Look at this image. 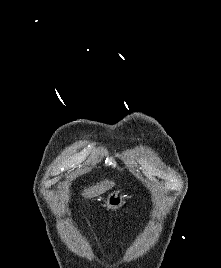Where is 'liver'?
<instances>
[{
    "instance_id": "6515ba94",
    "label": "liver",
    "mask_w": 221,
    "mask_h": 268,
    "mask_svg": "<svg viewBox=\"0 0 221 268\" xmlns=\"http://www.w3.org/2000/svg\"><path fill=\"white\" fill-rule=\"evenodd\" d=\"M114 185H115V183L113 181L104 180V181L98 183L95 186L85 188L84 192L82 193V195L85 198L97 197V196L105 193L109 189H111Z\"/></svg>"
}]
</instances>
